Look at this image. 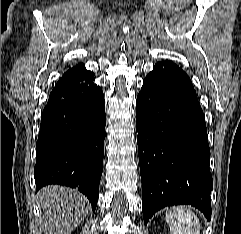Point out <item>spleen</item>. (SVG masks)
Listing matches in <instances>:
<instances>
[{
  "mask_svg": "<svg viewBox=\"0 0 241 234\" xmlns=\"http://www.w3.org/2000/svg\"><path fill=\"white\" fill-rule=\"evenodd\" d=\"M165 217L171 234H200L198 217L185 206L172 207Z\"/></svg>",
  "mask_w": 241,
  "mask_h": 234,
  "instance_id": "3e777b00",
  "label": "spleen"
}]
</instances>
